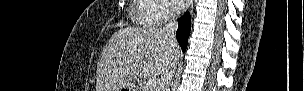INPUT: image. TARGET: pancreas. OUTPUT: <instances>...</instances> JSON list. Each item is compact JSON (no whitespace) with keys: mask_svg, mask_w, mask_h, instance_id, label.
I'll list each match as a JSON object with an SVG mask.
<instances>
[{"mask_svg":"<svg viewBox=\"0 0 304 91\" xmlns=\"http://www.w3.org/2000/svg\"><path fill=\"white\" fill-rule=\"evenodd\" d=\"M139 88H140V91H152L153 90L152 88L147 87L144 82L140 83V87Z\"/></svg>","mask_w":304,"mask_h":91,"instance_id":"pancreas-1","label":"pancreas"}]
</instances>
